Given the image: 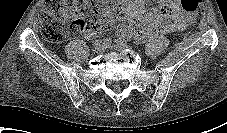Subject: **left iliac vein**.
Masks as SVG:
<instances>
[{
	"label": "left iliac vein",
	"mask_w": 227,
	"mask_h": 133,
	"mask_svg": "<svg viewBox=\"0 0 227 133\" xmlns=\"http://www.w3.org/2000/svg\"><path fill=\"white\" fill-rule=\"evenodd\" d=\"M115 49H116L117 51H124V50H126V49H131V46L128 45V44H126V43H117V44L115 45Z\"/></svg>",
	"instance_id": "1"
}]
</instances>
